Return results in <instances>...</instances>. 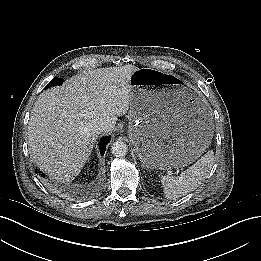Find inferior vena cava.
I'll return each mask as SVG.
<instances>
[{"mask_svg": "<svg viewBox=\"0 0 261 261\" xmlns=\"http://www.w3.org/2000/svg\"><path fill=\"white\" fill-rule=\"evenodd\" d=\"M91 128L95 133L100 134L107 131L108 124L103 118H97L93 121Z\"/></svg>", "mask_w": 261, "mask_h": 261, "instance_id": "602c4592", "label": "inferior vena cava"}]
</instances>
